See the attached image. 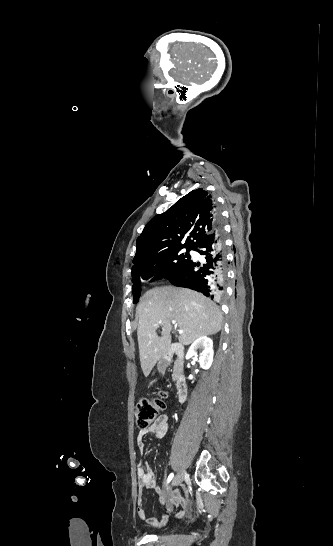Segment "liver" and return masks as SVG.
Masks as SVG:
<instances>
[{
  "label": "liver",
  "mask_w": 333,
  "mask_h": 546,
  "mask_svg": "<svg viewBox=\"0 0 333 546\" xmlns=\"http://www.w3.org/2000/svg\"><path fill=\"white\" fill-rule=\"evenodd\" d=\"M137 336L140 362L147 377L171 345L172 320L183 334L179 343L189 345L195 340L218 333L223 315L217 305L201 293L173 286L147 291L137 306ZM162 327L161 337L156 331Z\"/></svg>",
  "instance_id": "liver-1"
}]
</instances>
